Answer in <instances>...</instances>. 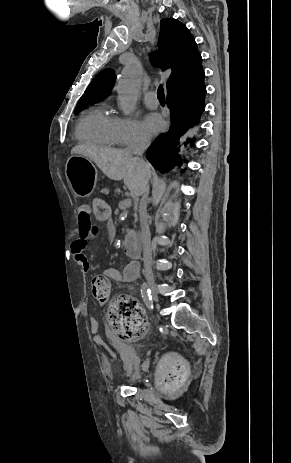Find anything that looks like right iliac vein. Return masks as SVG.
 Listing matches in <instances>:
<instances>
[{"mask_svg": "<svg viewBox=\"0 0 291 463\" xmlns=\"http://www.w3.org/2000/svg\"><path fill=\"white\" fill-rule=\"evenodd\" d=\"M148 284H149V287L151 289V292H152V298L155 302H158L159 299H158V296H157V293H156V287H155V281L153 278H148Z\"/></svg>", "mask_w": 291, "mask_h": 463, "instance_id": "right-iliac-vein-1", "label": "right iliac vein"}]
</instances>
